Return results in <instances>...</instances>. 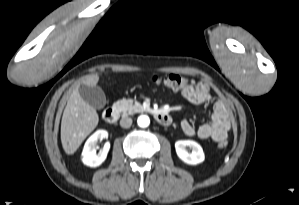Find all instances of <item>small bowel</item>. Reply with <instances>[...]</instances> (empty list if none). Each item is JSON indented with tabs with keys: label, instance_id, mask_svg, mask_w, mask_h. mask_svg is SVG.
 I'll return each instance as SVG.
<instances>
[{
	"label": "small bowel",
	"instance_id": "small-bowel-1",
	"mask_svg": "<svg viewBox=\"0 0 299 205\" xmlns=\"http://www.w3.org/2000/svg\"><path fill=\"white\" fill-rule=\"evenodd\" d=\"M181 94L193 104H203L211 101L213 98L209 85L202 81L182 90ZM181 129L185 135H196L200 139H212L215 142L226 139L230 129L228 108L223 101L217 100L214 103L209 123L202 124L196 128L188 120H183Z\"/></svg>",
	"mask_w": 299,
	"mask_h": 205
}]
</instances>
